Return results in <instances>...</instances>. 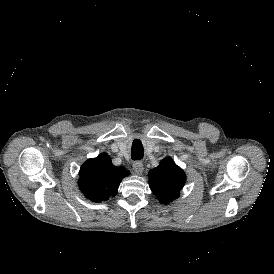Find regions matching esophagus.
Returning a JSON list of instances; mask_svg holds the SVG:
<instances>
[{
	"mask_svg": "<svg viewBox=\"0 0 274 274\" xmlns=\"http://www.w3.org/2000/svg\"><path fill=\"white\" fill-rule=\"evenodd\" d=\"M132 167L137 174H141L144 170L143 163L141 161L134 162Z\"/></svg>",
	"mask_w": 274,
	"mask_h": 274,
	"instance_id": "1",
	"label": "esophagus"
}]
</instances>
